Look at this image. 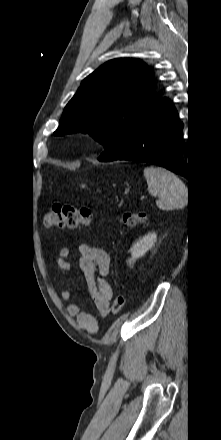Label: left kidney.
<instances>
[{"label":"left kidney","instance_id":"1","mask_svg":"<svg viewBox=\"0 0 221 440\" xmlns=\"http://www.w3.org/2000/svg\"><path fill=\"white\" fill-rule=\"evenodd\" d=\"M156 241H157L156 233H148L139 241L134 243V245L130 249L132 258L129 260V264L131 265L136 261V259L144 256L145 253L154 246Z\"/></svg>","mask_w":221,"mask_h":440}]
</instances>
